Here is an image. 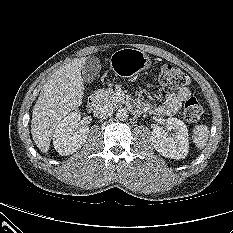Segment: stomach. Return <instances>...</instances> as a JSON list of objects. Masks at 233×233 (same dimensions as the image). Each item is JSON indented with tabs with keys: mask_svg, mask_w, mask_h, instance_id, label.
Segmentation results:
<instances>
[{
	"mask_svg": "<svg viewBox=\"0 0 233 233\" xmlns=\"http://www.w3.org/2000/svg\"><path fill=\"white\" fill-rule=\"evenodd\" d=\"M110 65L116 74L128 77L150 67L151 60L140 50L123 48L111 55Z\"/></svg>",
	"mask_w": 233,
	"mask_h": 233,
	"instance_id": "obj_1",
	"label": "stomach"
}]
</instances>
